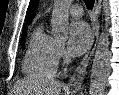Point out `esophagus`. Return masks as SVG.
<instances>
[{"mask_svg":"<svg viewBox=\"0 0 119 95\" xmlns=\"http://www.w3.org/2000/svg\"><path fill=\"white\" fill-rule=\"evenodd\" d=\"M101 9V0H95L93 8V27H92V38L88 50L80 62L75 72L71 75L68 81V87L73 90H80L84 79L86 77L88 66L90 65L91 58L96 49L98 38H99V21L98 16Z\"/></svg>","mask_w":119,"mask_h":95,"instance_id":"obj_1","label":"esophagus"}]
</instances>
